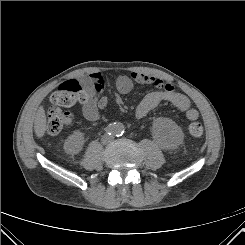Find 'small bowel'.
<instances>
[{
    "mask_svg": "<svg viewBox=\"0 0 245 245\" xmlns=\"http://www.w3.org/2000/svg\"><path fill=\"white\" fill-rule=\"evenodd\" d=\"M81 82L89 91L90 96L82 104L83 116L89 121H96L100 118V109L108 104V98L101 95L104 80L100 73L93 72L86 77L80 78ZM135 84L153 85L156 90L148 93L141 100L135 110V120L137 122L145 118L153 109L162 102H169L182 112L189 121H195L199 117V112L191 106L188 97L175 91L174 87L165 83L158 77L133 72L130 75L121 74L116 79V88L120 94L131 92Z\"/></svg>",
    "mask_w": 245,
    "mask_h": 245,
    "instance_id": "obj_1",
    "label": "small bowel"
}]
</instances>
